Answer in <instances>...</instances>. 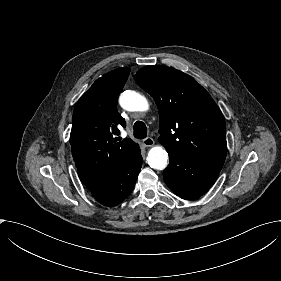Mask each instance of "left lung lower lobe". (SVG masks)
<instances>
[{"instance_id":"left-lung-lower-lobe-1","label":"left lung lower lobe","mask_w":281,"mask_h":281,"mask_svg":"<svg viewBox=\"0 0 281 281\" xmlns=\"http://www.w3.org/2000/svg\"><path fill=\"white\" fill-rule=\"evenodd\" d=\"M170 164L163 172L167 186L183 199H196L211 187L224 161L191 159L167 151Z\"/></svg>"}]
</instances>
